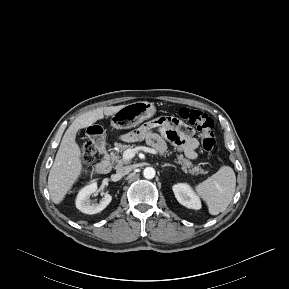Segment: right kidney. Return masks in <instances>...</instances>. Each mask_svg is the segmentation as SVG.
<instances>
[{
  "label": "right kidney",
  "mask_w": 289,
  "mask_h": 289,
  "mask_svg": "<svg viewBox=\"0 0 289 289\" xmlns=\"http://www.w3.org/2000/svg\"><path fill=\"white\" fill-rule=\"evenodd\" d=\"M97 183L93 182L87 186H85L77 195L76 198V207L82 213L85 214H96L104 210L107 205L111 202L112 197L108 193L103 194V198L101 199L100 203H92L90 200L91 195H96L97 190Z\"/></svg>",
  "instance_id": "obj_1"
}]
</instances>
